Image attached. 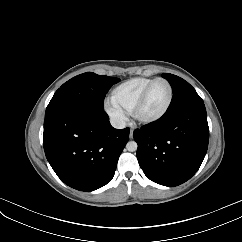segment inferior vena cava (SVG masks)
<instances>
[{
    "mask_svg": "<svg viewBox=\"0 0 242 242\" xmlns=\"http://www.w3.org/2000/svg\"><path fill=\"white\" fill-rule=\"evenodd\" d=\"M111 125L116 129H123L126 126V123L122 119H111Z\"/></svg>",
    "mask_w": 242,
    "mask_h": 242,
    "instance_id": "inferior-vena-cava-1",
    "label": "inferior vena cava"
}]
</instances>
